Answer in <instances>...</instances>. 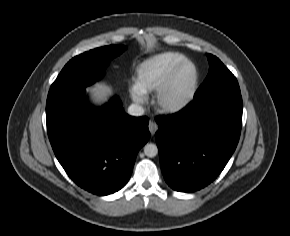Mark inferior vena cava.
<instances>
[{
	"label": "inferior vena cava",
	"mask_w": 290,
	"mask_h": 236,
	"mask_svg": "<svg viewBox=\"0 0 290 236\" xmlns=\"http://www.w3.org/2000/svg\"><path fill=\"white\" fill-rule=\"evenodd\" d=\"M128 114L131 116H142L144 114V109L142 106L138 105V104H131L128 107Z\"/></svg>",
	"instance_id": "inferior-vena-cava-1"
}]
</instances>
